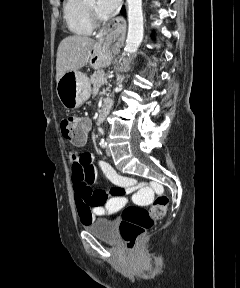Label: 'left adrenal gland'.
<instances>
[{"mask_svg":"<svg viewBox=\"0 0 240 288\" xmlns=\"http://www.w3.org/2000/svg\"><path fill=\"white\" fill-rule=\"evenodd\" d=\"M124 79H125V77H124L123 75H120V74L117 75V82H118V84H121Z\"/></svg>","mask_w":240,"mask_h":288,"instance_id":"left-adrenal-gland-1","label":"left adrenal gland"}]
</instances>
